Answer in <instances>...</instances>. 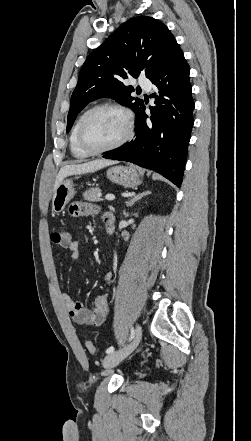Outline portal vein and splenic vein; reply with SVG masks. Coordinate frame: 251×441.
Listing matches in <instances>:
<instances>
[{"instance_id": "obj_1", "label": "portal vein and splenic vein", "mask_w": 251, "mask_h": 441, "mask_svg": "<svg viewBox=\"0 0 251 441\" xmlns=\"http://www.w3.org/2000/svg\"><path fill=\"white\" fill-rule=\"evenodd\" d=\"M105 199L108 200V201H112V200L115 199V196H114L113 194H107V195L105 196Z\"/></svg>"}]
</instances>
